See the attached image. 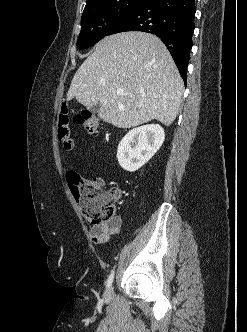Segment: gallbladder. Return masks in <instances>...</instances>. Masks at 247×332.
Here are the masks:
<instances>
[{
    "instance_id": "gallbladder-1",
    "label": "gallbladder",
    "mask_w": 247,
    "mask_h": 332,
    "mask_svg": "<svg viewBox=\"0 0 247 332\" xmlns=\"http://www.w3.org/2000/svg\"><path fill=\"white\" fill-rule=\"evenodd\" d=\"M99 109H100V104H96V105H94V106H92V107L90 108V110H91L93 113L98 112Z\"/></svg>"
}]
</instances>
